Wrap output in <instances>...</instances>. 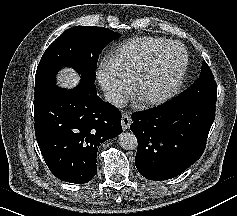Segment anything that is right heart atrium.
I'll return each mask as SVG.
<instances>
[{"label":"right heart atrium","instance_id":"obj_1","mask_svg":"<svg viewBox=\"0 0 237 216\" xmlns=\"http://www.w3.org/2000/svg\"><path fill=\"white\" fill-rule=\"evenodd\" d=\"M98 78L107 96L112 101L120 102L128 95V86L124 82L115 79L104 63L99 65Z\"/></svg>","mask_w":237,"mask_h":216}]
</instances>
